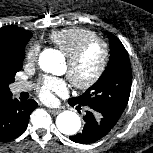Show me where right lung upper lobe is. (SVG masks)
I'll list each match as a JSON object with an SVG mask.
<instances>
[{
	"label": "right lung upper lobe",
	"mask_w": 153,
	"mask_h": 153,
	"mask_svg": "<svg viewBox=\"0 0 153 153\" xmlns=\"http://www.w3.org/2000/svg\"><path fill=\"white\" fill-rule=\"evenodd\" d=\"M32 33L17 26H5L0 28V52L15 51L25 48L30 40ZM6 89L0 86V96L9 93Z\"/></svg>",
	"instance_id": "cb5924a9"
}]
</instances>
